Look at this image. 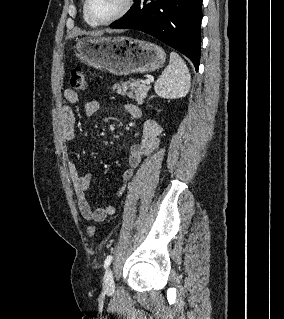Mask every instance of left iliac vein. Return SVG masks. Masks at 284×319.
Masks as SVG:
<instances>
[{
  "label": "left iliac vein",
  "instance_id": "4c4485c4",
  "mask_svg": "<svg viewBox=\"0 0 284 319\" xmlns=\"http://www.w3.org/2000/svg\"><path fill=\"white\" fill-rule=\"evenodd\" d=\"M103 288L106 292L111 293L115 289L114 278L111 268L105 271L103 278Z\"/></svg>",
  "mask_w": 284,
  "mask_h": 319
}]
</instances>
